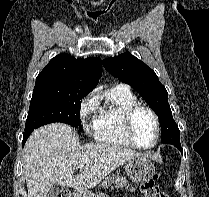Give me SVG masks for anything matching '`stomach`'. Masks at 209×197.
Returning a JSON list of instances; mask_svg holds the SVG:
<instances>
[{"instance_id": "0dacf381", "label": "stomach", "mask_w": 209, "mask_h": 197, "mask_svg": "<svg viewBox=\"0 0 209 197\" xmlns=\"http://www.w3.org/2000/svg\"><path fill=\"white\" fill-rule=\"evenodd\" d=\"M155 172L153 163L143 154L130 159L126 164V173L133 182H146ZM78 197H107L103 193L80 192Z\"/></svg>"}]
</instances>
